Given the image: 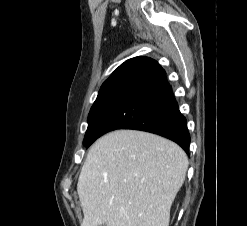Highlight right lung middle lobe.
Masks as SVG:
<instances>
[{"instance_id":"1","label":"right lung middle lobe","mask_w":247,"mask_h":226,"mask_svg":"<svg viewBox=\"0 0 247 226\" xmlns=\"http://www.w3.org/2000/svg\"><path fill=\"white\" fill-rule=\"evenodd\" d=\"M122 70V67L119 66L111 75L110 77L102 84L100 91L98 93V96L91 107V110L88 115V128L84 137V145L88 142V140L91 138L93 129L96 125V123L99 120V117L102 113L103 108L105 107V104L115 86L117 83V80L119 78L120 72Z\"/></svg>"}]
</instances>
